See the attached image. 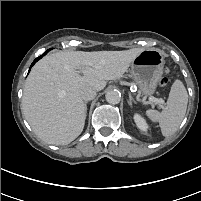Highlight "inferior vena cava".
I'll return each instance as SVG.
<instances>
[{
  "instance_id": "1",
  "label": "inferior vena cava",
  "mask_w": 201,
  "mask_h": 201,
  "mask_svg": "<svg viewBox=\"0 0 201 201\" xmlns=\"http://www.w3.org/2000/svg\"><path fill=\"white\" fill-rule=\"evenodd\" d=\"M80 96L84 101H89L95 98L96 91L90 87H84L80 90Z\"/></svg>"
}]
</instances>
